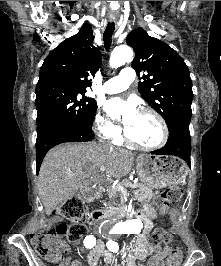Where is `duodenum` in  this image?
<instances>
[{"label": "duodenum", "mask_w": 221, "mask_h": 266, "mask_svg": "<svg viewBox=\"0 0 221 266\" xmlns=\"http://www.w3.org/2000/svg\"><path fill=\"white\" fill-rule=\"evenodd\" d=\"M101 190H98L96 193L88 191L84 194L85 198L92 194H99ZM109 216H128V211H125L124 207H115V211H105L102 209L93 210L88 214V223L94 225L101 220L108 218Z\"/></svg>", "instance_id": "duodenum-1"}]
</instances>
